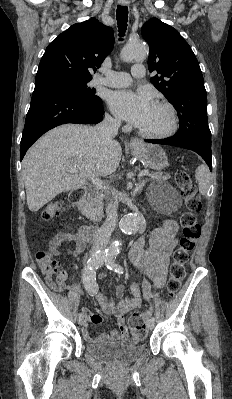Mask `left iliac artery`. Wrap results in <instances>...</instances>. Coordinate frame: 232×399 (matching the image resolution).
I'll return each instance as SVG.
<instances>
[{
  "label": "left iliac artery",
  "mask_w": 232,
  "mask_h": 399,
  "mask_svg": "<svg viewBox=\"0 0 232 399\" xmlns=\"http://www.w3.org/2000/svg\"><path fill=\"white\" fill-rule=\"evenodd\" d=\"M117 253H108L105 258V265L108 269L113 270L117 273H123L122 267L119 266L115 260L117 258ZM151 320H154V316L151 317Z\"/></svg>",
  "instance_id": "left-iliac-artery-1"
}]
</instances>
